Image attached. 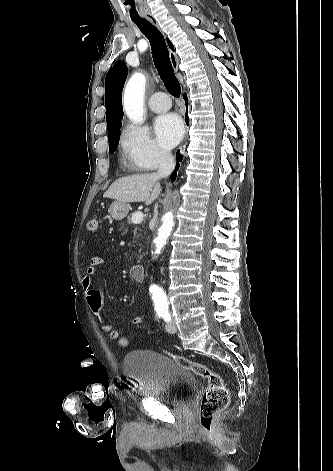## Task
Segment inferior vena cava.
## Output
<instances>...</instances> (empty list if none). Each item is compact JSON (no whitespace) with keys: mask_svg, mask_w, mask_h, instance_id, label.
<instances>
[{"mask_svg":"<svg viewBox=\"0 0 333 471\" xmlns=\"http://www.w3.org/2000/svg\"><path fill=\"white\" fill-rule=\"evenodd\" d=\"M175 167V162L172 154L168 151H162L160 153V161H159V168L156 173V177L158 178H166L168 177ZM158 211L157 205L154 209V217L153 220L157 219Z\"/></svg>","mask_w":333,"mask_h":471,"instance_id":"1","label":"inferior vena cava"}]
</instances>
